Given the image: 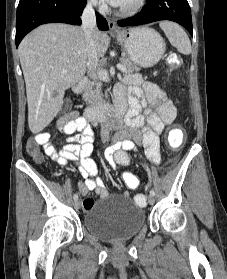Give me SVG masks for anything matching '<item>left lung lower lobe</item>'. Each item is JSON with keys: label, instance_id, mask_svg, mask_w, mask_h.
Listing matches in <instances>:
<instances>
[{"label": "left lung lower lobe", "instance_id": "obj_1", "mask_svg": "<svg viewBox=\"0 0 227 279\" xmlns=\"http://www.w3.org/2000/svg\"><path fill=\"white\" fill-rule=\"evenodd\" d=\"M160 20H170L185 27L193 36L191 9L187 0H146L137 15L119 20V26H137Z\"/></svg>", "mask_w": 227, "mask_h": 279}]
</instances>
